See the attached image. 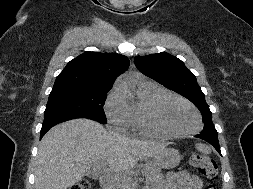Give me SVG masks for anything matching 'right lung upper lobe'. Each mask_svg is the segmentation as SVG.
<instances>
[{"mask_svg":"<svg viewBox=\"0 0 253 189\" xmlns=\"http://www.w3.org/2000/svg\"><path fill=\"white\" fill-rule=\"evenodd\" d=\"M130 62L126 56L85 52L71 60L58 75L53 88L110 87L125 72Z\"/></svg>","mask_w":253,"mask_h":189,"instance_id":"1","label":"right lung upper lobe"}]
</instances>
